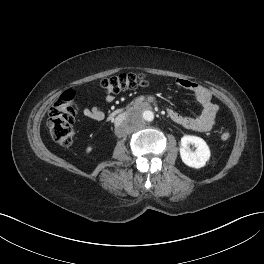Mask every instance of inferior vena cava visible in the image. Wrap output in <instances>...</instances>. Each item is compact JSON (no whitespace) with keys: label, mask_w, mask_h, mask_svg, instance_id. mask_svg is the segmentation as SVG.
<instances>
[{"label":"inferior vena cava","mask_w":264,"mask_h":264,"mask_svg":"<svg viewBox=\"0 0 264 264\" xmlns=\"http://www.w3.org/2000/svg\"><path fill=\"white\" fill-rule=\"evenodd\" d=\"M123 121H124V118H123V117H121V116H116V117H114V119H113V124H114V126H116V125H118V124L123 123Z\"/></svg>","instance_id":"inferior-vena-cava-1"}]
</instances>
